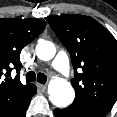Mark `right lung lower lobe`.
<instances>
[{"label":"right lung lower lobe","mask_w":117,"mask_h":117,"mask_svg":"<svg viewBox=\"0 0 117 117\" xmlns=\"http://www.w3.org/2000/svg\"><path fill=\"white\" fill-rule=\"evenodd\" d=\"M36 86H34L32 92L24 99L23 102H21L12 112L5 115V117H25L26 110L28 108V105L31 101V98L33 95L36 94Z\"/></svg>","instance_id":"1"}]
</instances>
